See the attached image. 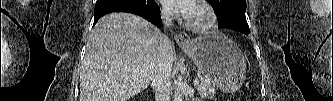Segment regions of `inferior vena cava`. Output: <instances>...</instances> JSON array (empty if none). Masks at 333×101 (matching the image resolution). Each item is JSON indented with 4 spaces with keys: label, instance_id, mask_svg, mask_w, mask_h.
<instances>
[{
    "label": "inferior vena cava",
    "instance_id": "1",
    "mask_svg": "<svg viewBox=\"0 0 333 101\" xmlns=\"http://www.w3.org/2000/svg\"><path fill=\"white\" fill-rule=\"evenodd\" d=\"M161 17L165 27L172 25V16L169 10H163L161 12ZM172 65V43L166 36H163L157 48V60L152 80L156 101H170Z\"/></svg>",
    "mask_w": 333,
    "mask_h": 101
}]
</instances>
